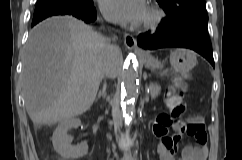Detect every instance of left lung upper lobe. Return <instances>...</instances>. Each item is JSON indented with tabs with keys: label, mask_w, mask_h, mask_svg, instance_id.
<instances>
[{
	"label": "left lung upper lobe",
	"mask_w": 242,
	"mask_h": 160,
	"mask_svg": "<svg viewBox=\"0 0 242 160\" xmlns=\"http://www.w3.org/2000/svg\"><path fill=\"white\" fill-rule=\"evenodd\" d=\"M167 17L162 22L176 29L184 25L207 24L205 0H157Z\"/></svg>",
	"instance_id": "obj_1"
}]
</instances>
